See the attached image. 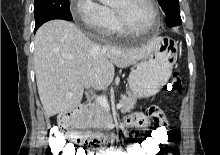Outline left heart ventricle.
I'll return each instance as SVG.
<instances>
[{
  "label": "left heart ventricle",
  "mask_w": 220,
  "mask_h": 155,
  "mask_svg": "<svg viewBox=\"0 0 220 155\" xmlns=\"http://www.w3.org/2000/svg\"><path fill=\"white\" fill-rule=\"evenodd\" d=\"M113 7L133 28L143 29L151 22V10L145 0H117Z\"/></svg>",
  "instance_id": "left-heart-ventricle-1"
}]
</instances>
